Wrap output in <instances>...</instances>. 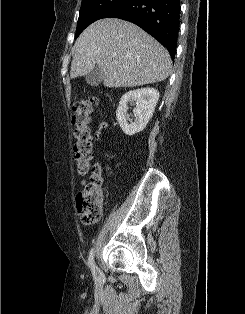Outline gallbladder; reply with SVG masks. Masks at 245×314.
I'll list each match as a JSON object with an SVG mask.
<instances>
[{
    "instance_id": "obj_1",
    "label": "gallbladder",
    "mask_w": 245,
    "mask_h": 314,
    "mask_svg": "<svg viewBox=\"0 0 245 314\" xmlns=\"http://www.w3.org/2000/svg\"><path fill=\"white\" fill-rule=\"evenodd\" d=\"M103 79L104 72L98 66H95V68L86 75V82L90 86H98L102 83Z\"/></svg>"
}]
</instances>
